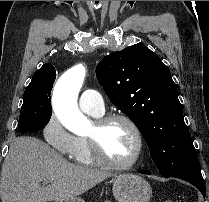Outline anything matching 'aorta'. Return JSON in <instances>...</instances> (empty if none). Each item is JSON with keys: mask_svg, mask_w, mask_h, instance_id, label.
Instances as JSON below:
<instances>
[{"mask_svg": "<svg viewBox=\"0 0 209 202\" xmlns=\"http://www.w3.org/2000/svg\"><path fill=\"white\" fill-rule=\"evenodd\" d=\"M85 75V67L77 64L59 78L53 91V109L57 118L65 128L76 134L90 127L89 119L80 112L77 105Z\"/></svg>", "mask_w": 209, "mask_h": 202, "instance_id": "aorta-1", "label": "aorta"}]
</instances>
